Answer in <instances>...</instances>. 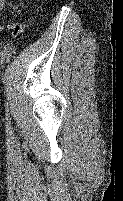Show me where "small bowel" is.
<instances>
[{
	"label": "small bowel",
	"instance_id": "small-bowel-1",
	"mask_svg": "<svg viewBox=\"0 0 123 201\" xmlns=\"http://www.w3.org/2000/svg\"><path fill=\"white\" fill-rule=\"evenodd\" d=\"M6 2H7V0H0V10L3 8V6L5 5ZM5 29L10 30L12 33V36L14 38H17L23 32V25L18 22H10V23H5V24L0 23V32Z\"/></svg>",
	"mask_w": 123,
	"mask_h": 201
}]
</instances>
